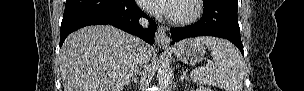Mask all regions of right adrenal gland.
Here are the masks:
<instances>
[{
    "label": "right adrenal gland",
    "instance_id": "2a0ac1e0",
    "mask_svg": "<svg viewBox=\"0 0 304 91\" xmlns=\"http://www.w3.org/2000/svg\"><path fill=\"white\" fill-rule=\"evenodd\" d=\"M137 75H138L137 73L134 74L132 79L127 83V86H129L131 82L137 83Z\"/></svg>",
    "mask_w": 304,
    "mask_h": 91
}]
</instances>
